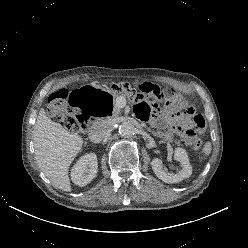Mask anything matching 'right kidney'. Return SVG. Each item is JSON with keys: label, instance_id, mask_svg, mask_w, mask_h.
<instances>
[{"label": "right kidney", "instance_id": "1", "mask_svg": "<svg viewBox=\"0 0 248 248\" xmlns=\"http://www.w3.org/2000/svg\"><path fill=\"white\" fill-rule=\"evenodd\" d=\"M98 162L95 153L82 156L71 169V179L74 184L85 186L90 183L97 174Z\"/></svg>", "mask_w": 248, "mask_h": 248}]
</instances>
